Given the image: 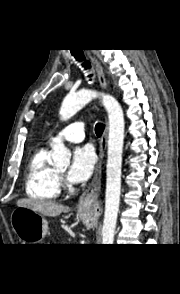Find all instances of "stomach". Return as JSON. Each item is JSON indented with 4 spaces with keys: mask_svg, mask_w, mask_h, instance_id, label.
<instances>
[{
    "mask_svg": "<svg viewBox=\"0 0 180 294\" xmlns=\"http://www.w3.org/2000/svg\"><path fill=\"white\" fill-rule=\"evenodd\" d=\"M83 221L87 215L79 214ZM11 224L14 232L24 244H38L48 231V223L43 215L26 207H17L11 214Z\"/></svg>",
    "mask_w": 180,
    "mask_h": 294,
    "instance_id": "0dacf381",
    "label": "stomach"
}]
</instances>
